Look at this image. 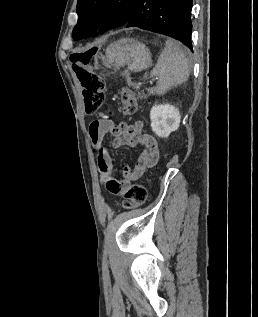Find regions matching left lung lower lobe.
<instances>
[{"label":"left lung lower lobe","instance_id":"obj_1","mask_svg":"<svg viewBox=\"0 0 258 317\" xmlns=\"http://www.w3.org/2000/svg\"><path fill=\"white\" fill-rule=\"evenodd\" d=\"M192 4L193 0H136L124 25L172 37L192 50ZM107 30L101 27L99 33ZM97 35L95 31L84 38Z\"/></svg>","mask_w":258,"mask_h":317}]
</instances>
